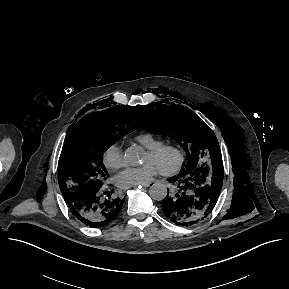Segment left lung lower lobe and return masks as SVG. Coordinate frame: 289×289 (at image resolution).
<instances>
[{"instance_id":"left-lung-lower-lobe-1","label":"left lung lower lobe","mask_w":289,"mask_h":289,"mask_svg":"<svg viewBox=\"0 0 289 289\" xmlns=\"http://www.w3.org/2000/svg\"><path fill=\"white\" fill-rule=\"evenodd\" d=\"M223 170L207 174L196 170L168 180L176 185V193L162 200L165 216L172 222L189 226L206 218L213 210L222 188Z\"/></svg>"}]
</instances>
